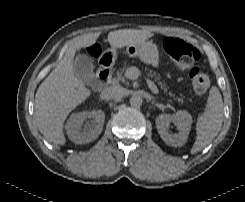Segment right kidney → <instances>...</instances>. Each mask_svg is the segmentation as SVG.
Masks as SVG:
<instances>
[{
  "instance_id": "ca27d5eb",
  "label": "right kidney",
  "mask_w": 245,
  "mask_h": 202,
  "mask_svg": "<svg viewBox=\"0 0 245 202\" xmlns=\"http://www.w3.org/2000/svg\"><path fill=\"white\" fill-rule=\"evenodd\" d=\"M92 118V120H88ZM105 114L101 110L73 113L65 128L68 137L75 144L89 143L98 138L103 130Z\"/></svg>"
}]
</instances>
